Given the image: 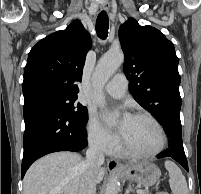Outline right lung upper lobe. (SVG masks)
I'll return each mask as SVG.
<instances>
[{
	"mask_svg": "<svg viewBox=\"0 0 201 194\" xmlns=\"http://www.w3.org/2000/svg\"><path fill=\"white\" fill-rule=\"evenodd\" d=\"M91 39L82 23L40 40L30 51L22 84L24 102L44 95L77 97Z\"/></svg>",
	"mask_w": 201,
	"mask_h": 194,
	"instance_id": "1",
	"label": "right lung upper lobe"
}]
</instances>
